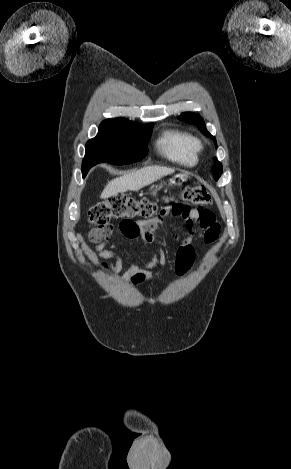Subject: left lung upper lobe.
Instances as JSON below:
<instances>
[{"label":"left lung upper lobe","mask_w":291,"mask_h":469,"mask_svg":"<svg viewBox=\"0 0 291 469\" xmlns=\"http://www.w3.org/2000/svg\"><path fill=\"white\" fill-rule=\"evenodd\" d=\"M178 118L180 120H183L186 123L195 124L201 130V132L203 134H205L206 136L213 139L215 141V144H216V138L214 136H212L207 131L206 126H205V122L199 114L192 113V112H185V113H182ZM216 146H217V144H216ZM212 173H213L214 179L216 181L219 179V177L222 174V164L218 161L217 158H215V160H214V166L212 168Z\"/></svg>","instance_id":"left-lung-upper-lobe-1"}]
</instances>
